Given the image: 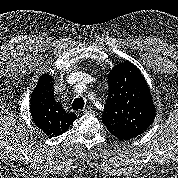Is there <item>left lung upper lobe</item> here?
Listing matches in <instances>:
<instances>
[{
	"label": "left lung upper lobe",
	"mask_w": 178,
	"mask_h": 178,
	"mask_svg": "<svg viewBox=\"0 0 178 178\" xmlns=\"http://www.w3.org/2000/svg\"><path fill=\"white\" fill-rule=\"evenodd\" d=\"M109 93L102 122L144 133L155 118L150 89L131 62L116 65L108 76Z\"/></svg>",
	"instance_id": "5c2ea615"
}]
</instances>
